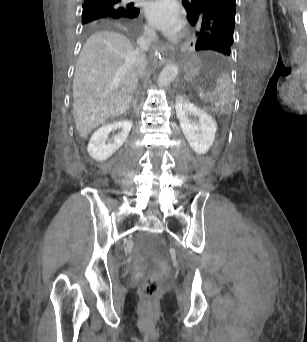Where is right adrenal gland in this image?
<instances>
[{
  "label": "right adrenal gland",
  "mask_w": 307,
  "mask_h": 342,
  "mask_svg": "<svg viewBox=\"0 0 307 342\" xmlns=\"http://www.w3.org/2000/svg\"><path fill=\"white\" fill-rule=\"evenodd\" d=\"M132 106H133V108H136V106H137V102H136V100H133V104H132Z\"/></svg>",
  "instance_id": "right-adrenal-gland-1"
}]
</instances>
